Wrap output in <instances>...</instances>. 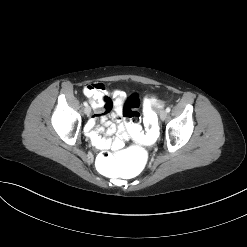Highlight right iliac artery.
<instances>
[{
	"mask_svg": "<svg viewBox=\"0 0 247 247\" xmlns=\"http://www.w3.org/2000/svg\"><path fill=\"white\" fill-rule=\"evenodd\" d=\"M83 105L86 107V106H88V103L87 102H84Z\"/></svg>",
	"mask_w": 247,
	"mask_h": 247,
	"instance_id": "obj_1",
	"label": "right iliac artery"
}]
</instances>
